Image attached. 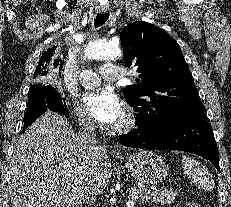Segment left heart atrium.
Here are the masks:
<instances>
[{
  "mask_svg": "<svg viewBox=\"0 0 231 207\" xmlns=\"http://www.w3.org/2000/svg\"><path fill=\"white\" fill-rule=\"evenodd\" d=\"M88 113L103 125H114L124 115V105L112 90L98 89L82 98Z\"/></svg>",
  "mask_w": 231,
  "mask_h": 207,
  "instance_id": "left-heart-atrium-1",
  "label": "left heart atrium"
}]
</instances>
